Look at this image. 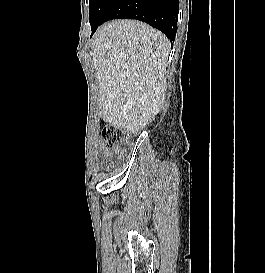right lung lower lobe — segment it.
Segmentation results:
<instances>
[{"label": "right lung lower lobe", "instance_id": "1", "mask_svg": "<svg viewBox=\"0 0 265 273\" xmlns=\"http://www.w3.org/2000/svg\"><path fill=\"white\" fill-rule=\"evenodd\" d=\"M178 11V0H113L99 25L117 18L137 19L162 31L173 42ZM97 27L92 29V34Z\"/></svg>", "mask_w": 265, "mask_h": 273}]
</instances>
